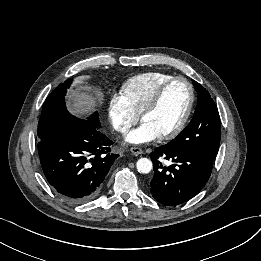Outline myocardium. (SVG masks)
Masks as SVG:
<instances>
[{
  "instance_id": "1",
  "label": "myocardium",
  "mask_w": 261,
  "mask_h": 261,
  "mask_svg": "<svg viewBox=\"0 0 261 261\" xmlns=\"http://www.w3.org/2000/svg\"><path fill=\"white\" fill-rule=\"evenodd\" d=\"M176 82H184L188 87L189 101H188L187 109H186L181 121L179 122V124L172 131L160 136L159 138L161 140H171V139L177 137L188 124L190 117L192 115V111H193V107H194V103H195V91H194V87H193L192 83L187 78L182 77V76H176V77L171 78L169 81L164 83L159 88V90L157 91V93L154 96V98L152 99V101L147 105V107L141 113V121L143 122L147 115L153 113L154 111H156L159 108V106L165 96L166 91L172 84H174Z\"/></svg>"
}]
</instances>
